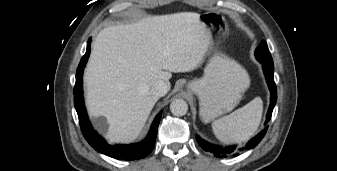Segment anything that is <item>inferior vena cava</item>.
Here are the masks:
<instances>
[{"instance_id":"602c4592","label":"inferior vena cava","mask_w":337,"mask_h":171,"mask_svg":"<svg viewBox=\"0 0 337 171\" xmlns=\"http://www.w3.org/2000/svg\"><path fill=\"white\" fill-rule=\"evenodd\" d=\"M169 86L164 81H157L152 86V93L156 97H162L168 92Z\"/></svg>"}]
</instances>
